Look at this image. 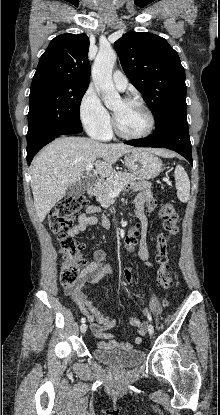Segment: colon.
<instances>
[{"label": "colon", "instance_id": "obj_1", "mask_svg": "<svg viewBox=\"0 0 220 415\" xmlns=\"http://www.w3.org/2000/svg\"><path fill=\"white\" fill-rule=\"evenodd\" d=\"M86 198L83 195L69 197L61 201L49 214L48 226L53 234L57 236L60 251L63 255L60 269V283L64 287L73 286L79 277L83 264L81 259L82 244L75 236L69 233L74 217L83 209ZM164 232L157 237V278L162 288L167 291L172 286V276L167 271L170 255L172 236L177 231L178 213L171 203L164 204L159 211ZM123 279L126 283L131 281V272L123 271ZM164 301L163 305L168 306Z\"/></svg>", "mask_w": 220, "mask_h": 415}]
</instances>
